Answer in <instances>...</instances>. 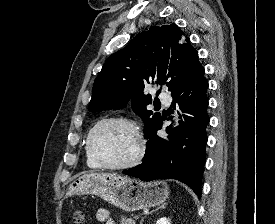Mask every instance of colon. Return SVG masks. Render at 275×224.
I'll return each instance as SVG.
<instances>
[{
	"instance_id": "obj_1",
	"label": "colon",
	"mask_w": 275,
	"mask_h": 224,
	"mask_svg": "<svg viewBox=\"0 0 275 224\" xmlns=\"http://www.w3.org/2000/svg\"><path fill=\"white\" fill-rule=\"evenodd\" d=\"M73 221L75 224H84V222L86 221L85 214L81 211L75 212L73 216Z\"/></svg>"
}]
</instances>
